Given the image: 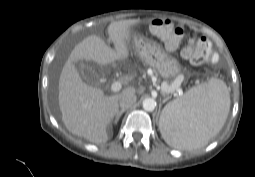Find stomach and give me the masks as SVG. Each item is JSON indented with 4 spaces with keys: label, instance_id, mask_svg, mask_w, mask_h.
<instances>
[{
    "label": "stomach",
    "instance_id": "1",
    "mask_svg": "<svg viewBox=\"0 0 255 177\" xmlns=\"http://www.w3.org/2000/svg\"><path fill=\"white\" fill-rule=\"evenodd\" d=\"M129 43L137 55L163 78H173L180 73L178 61L168 55L156 42L131 33Z\"/></svg>",
    "mask_w": 255,
    "mask_h": 177
}]
</instances>
